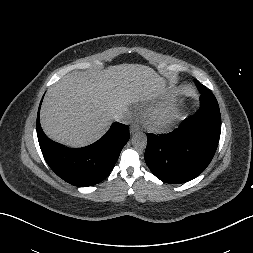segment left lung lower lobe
<instances>
[{"label": "left lung lower lobe", "mask_w": 253, "mask_h": 253, "mask_svg": "<svg viewBox=\"0 0 253 253\" xmlns=\"http://www.w3.org/2000/svg\"><path fill=\"white\" fill-rule=\"evenodd\" d=\"M197 112L168 134H148L145 162L166 183H184L199 176L211 162L221 132V115L215 96L199 81Z\"/></svg>", "instance_id": "0a47b994"}]
</instances>
